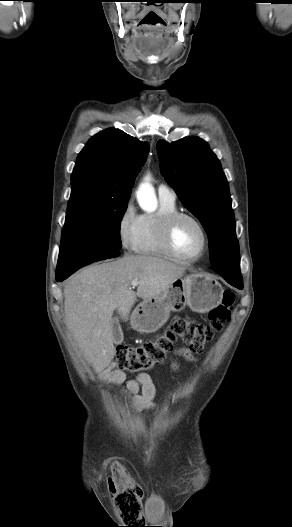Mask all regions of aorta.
Segmentation results:
<instances>
[{"label":"aorta","mask_w":292,"mask_h":527,"mask_svg":"<svg viewBox=\"0 0 292 527\" xmlns=\"http://www.w3.org/2000/svg\"><path fill=\"white\" fill-rule=\"evenodd\" d=\"M137 199L142 209L146 211H154L156 209L157 200L149 176L140 184Z\"/></svg>","instance_id":"obj_1"}]
</instances>
